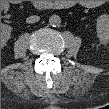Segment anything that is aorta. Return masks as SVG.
Here are the masks:
<instances>
[{
  "mask_svg": "<svg viewBox=\"0 0 109 109\" xmlns=\"http://www.w3.org/2000/svg\"><path fill=\"white\" fill-rule=\"evenodd\" d=\"M49 24L53 27H58L61 24V18L58 15H51L49 17Z\"/></svg>",
  "mask_w": 109,
  "mask_h": 109,
  "instance_id": "762f6f07",
  "label": "aorta"
}]
</instances>
